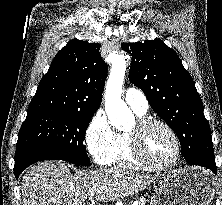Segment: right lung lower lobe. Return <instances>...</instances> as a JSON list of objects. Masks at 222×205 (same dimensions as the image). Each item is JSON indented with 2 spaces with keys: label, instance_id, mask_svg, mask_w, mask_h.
Returning a JSON list of instances; mask_svg holds the SVG:
<instances>
[{
  "label": "right lung lower lobe",
  "instance_id": "right-lung-lower-lobe-1",
  "mask_svg": "<svg viewBox=\"0 0 222 205\" xmlns=\"http://www.w3.org/2000/svg\"><path fill=\"white\" fill-rule=\"evenodd\" d=\"M42 160H63L57 154L45 150H27L15 154L14 174L18 178L20 173L29 165Z\"/></svg>",
  "mask_w": 222,
  "mask_h": 205
}]
</instances>
